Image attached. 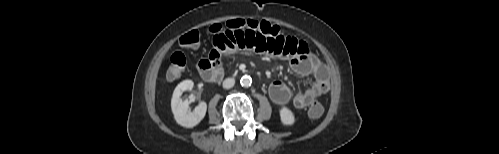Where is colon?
I'll use <instances>...</instances> for the list:
<instances>
[{"label":"colon","mask_w":499,"mask_h":154,"mask_svg":"<svg viewBox=\"0 0 499 154\" xmlns=\"http://www.w3.org/2000/svg\"><path fill=\"white\" fill-rule=\"evenodd\" d=\"M226 29H253L269 36H279L283 34L282 29L279 26L265 20L253 19H234L228 21L225 27L222 24H215L211 26L209 30L215 35ZM179 43L184 48H195L199 43V33L195 30L189 31L180 38ZM186 63V57L182 52L178 51L173 53L167 69V77L171 80L179 78L185 71ZM323 111V106L315 101L310 105L308 115L312 119H317L323 114Z\"/></svg>","instance_id":"5ec220e1"}]
</instances>
